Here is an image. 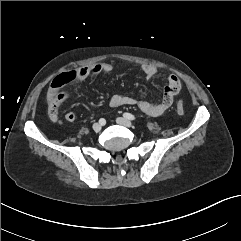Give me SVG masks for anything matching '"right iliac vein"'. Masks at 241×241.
Here are the masks:
<instances>
[{"instance_id":"right-iliac-vein-1","label":"right iliac vein","mask_w":241,"mask_h":241,"mask_svg":"<svg viewBox=\"0 0 241 241\" xmlns=\"http://www.w3.org/2000/svg\"><path fill=\"white\" fill-rule=\"evenodd\" d=\"M101 128H102V125L100 123L93 124V130L95 132H99L101 130Z\"/></svg>"}]
</instances>
